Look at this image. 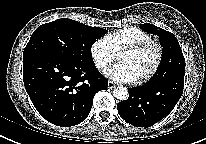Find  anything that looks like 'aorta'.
I'll list each match as a JSON object with an SVG mask.
<instances>
[{
    "instance_id": "aorta-1",
    "label": "aorta",
    "mask_w": 206,
    "mask_h": 144,
    "mask_svg": "<svg viewBox=\"0 0 206 144\" xmlns=\"http://www.w3.org/2000/svg\"><path fill=\"white\" fill-rule=\"evenodd\" d=\"M113 95L118 100H126L129 97L128 90L125 87L119 86L114 89Z\"/></svg>"
}]
</instances>
